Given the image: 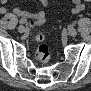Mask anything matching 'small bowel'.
I'll list each match as a JSON object with an SVG mask.
<instances>
[{
  "instance_id": "c3829d8e",
  "label": "small bowel",
  "mask_w": 91,
  "mask_h": 91,
  "mask_svg": "<svg viewBox=\"0 0 91 91\" xmlns=\"http://www.w3.org/2000/svg\"><path fill=\"white\" fill-rule=\"evenodd\" d=\"M39 3L42 5V6H46L47 3H48V0H39ZM85 9V5L84 3H82L80 0H75L74 1V4H73V7H72V12L73 13H79V12H82L83 10ZM7 12V9L5 7H1L0 8V13L1 14H5ZM13 14L17 15V16H22V17H25V16H28V13L19 9V8H14L12 10ZM44 17V13L43 12H40L36 15V18H43Z\"/></svg>"
}]
</instances>
